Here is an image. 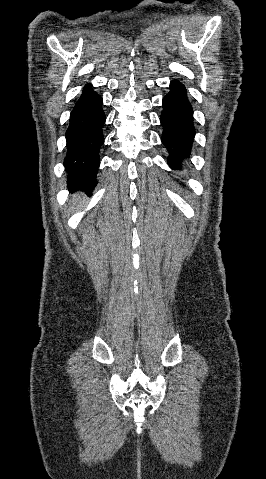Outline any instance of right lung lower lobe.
<instances>
[{
  "mask_svg": "<svg viewBox=\"0 0 266 479\" xmlns=\"http://www.w3.org/2000/svg\"><path fill=\"white\" fill-rule=\"evenodd\" d=\"M102 103V98L91 89V84H87L71 112L64 160L67 183L71 189L91 191L97 184L99 152L104 142Z\"/></svg>",
  "mask_w": 266,
  "mask_h": 479,
  "instance_id": "right-lung-lower-lobe-1",
  "label": "right lung lower lobe"
}]
</instances>
